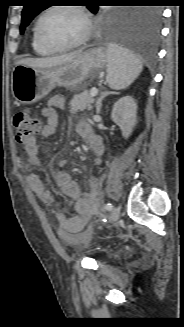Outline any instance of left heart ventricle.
<instances>
[{"label": "left heart ventricle", "mask_w": 184, "mask_h": 327, "mask_svg": "<svg viewBox=\"0 0 184 327\" xmlns=\"http://www.w3.org/2000/svg\"><path fill=\"white\" fill-rule=\"evenodd\" d=\"M44 37L53 44L65 45L77 41L85 31L82 18L69 9L50 12L42 22Z\"/></svg>", "instance_id": "1"}]
</instances>
